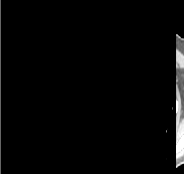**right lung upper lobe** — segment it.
I'll list each match as a JSON object with an SVG mask.
<instances>
[{
  "label": "right lung upper lobe",
  "instance_id": "cb5924a9",
  "mask_svg": "<svg viewBox=\"0 0 184 174\" xmlns=\"http://www.w3.org/2000/svg\"><path fill=\"white\" fill-rule=\"evenodd\" d=\"M68 64L60 56L46 58L26 87L21 115L27 131L40 138L59 131L78 116L72 107L73 89L67 79Z\"/></svg>",
  "mask_w": 184,
  "mask_h": 174
}]
</instances>
